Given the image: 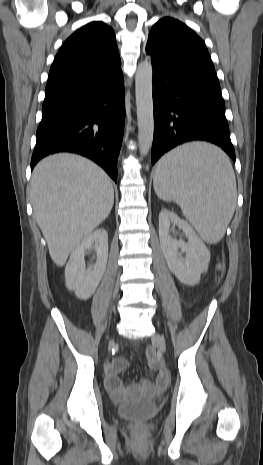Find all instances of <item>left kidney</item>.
Masks as SVG:
<instances>
[{
    "label": "left kidney",
    "instance_id": "left-kidney-1",
    "mask_svg": "<svg viewBox=\"0 0 263 465\" xmlns=\"http://www.w3.org/2000/svg\"><path fill=\"white\" fill-rule=\"evenodd\" d=\"M172 225L183 230L187 242L173 238ZM159 239L170 271L183 284L196 285L201 273L208 269L210 252L192 226L174 212L163 209L159 213Z\"/></svg>",
    "mask_w": 263,
    "mask_h": 465
}]
</instances>
